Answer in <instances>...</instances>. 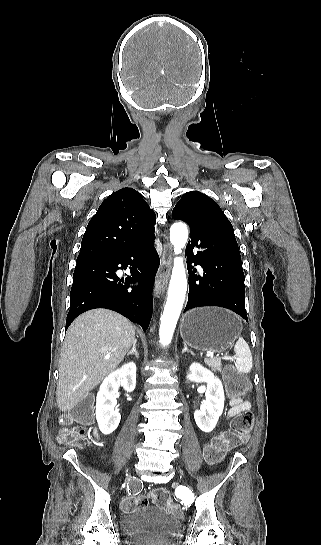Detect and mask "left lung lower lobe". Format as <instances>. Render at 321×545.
I'll list each match as a JSON object with an SVG mask.
<instances>
[{
    "label": "left lung lower lobe",
    "mask_w": 321,
    "mask_h": 545,
    "mask_svg": "<svg viewBox=\"0 0 321 545\" xmlns=\"http://www.w3.org/2000/svg\"><path fill=\"white\" fill-rule=\"evenodd\" d=\"M183 221L191 227L185 253L190 276L184 312L195 307L219 306L248 321L244 303L245 277L233 226L222 216ZM196 265L203 268L202 277L195 274Z\"/></svg>",
    "instance_id": "1"
}]
</instances>
